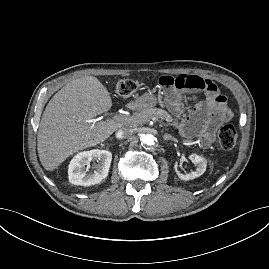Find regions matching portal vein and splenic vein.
<instances>
[{"mask_svg":"<svg viewBox=\"0 0 269 269\" xmlns=\"http://www.w3.org/2000/svg\"><path fill=\"white\" fill-rule=\"evenodd\" d=\"M112 119L115 121L124 122V123H134L136 120L134 117H127L124 115H115ZM90 122L95 123L96 121L90 120Z\"/></svg>","mask_w":269,"mask_h":269,"instance_id":"portal-vein-and-splenic-vein-1","label":"portal vein and splenic vein"}]
</instances>
